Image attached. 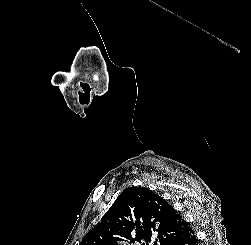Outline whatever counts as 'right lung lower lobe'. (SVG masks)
Segmentation results:
<instances>
[{"mask_svg":"<svg viewBox=\"0 0 251 245\" xmlns=\"http://www.w3.org/2000/svg\"><path fill=\"white\" fill-rule=\"evenodd\" d=\"M197 242L193 230L189 227L186 232H183L177 238L169 241L166 245H198Z\"/></svg>","mask_w":251,"mask_h":245,"instance_id":"right-lung-lower-lobe-1","label":"right lung lower lobe"}]
</instances>
